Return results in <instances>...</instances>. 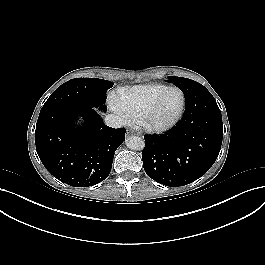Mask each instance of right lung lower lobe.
Returning <instances> with one entry per match:
<instances>
[{"label":"right lung lower lobe","mask_w":265,"mask_h":265,"mask_svg":"<svg viewBox=\"0 0 265 265\" xmlns=\"http://www.w3.org/2000/svg\"><path fill=\"white\" fill-rule=\"evenodd\" d=\"M78 117L84 123L76 125ZM125 128L104 124L93 108L55 105L42 108L35 130L36 150L46 169L73 187H89L106 179Z\"/></svg>","instance_id":"98d812e1"}]
</instances>
